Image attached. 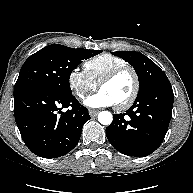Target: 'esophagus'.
<instances>
[{
  "label": "esophagus",
  "mask_w": 193,
  "mask_h": 193,
  "mask_svg": "<svg viewBox=\"0 0 193 193\" xmlns=\"http://www.w3.org/2000/svg\"><path fill=\"white\" fill-rule=\"evenodd\" d=\"M98 110H94V109H90L89 110V114L91 117H95L98 114Z\"/></svg>",
  "instance_id": "esophagus-1"
}]
</instances>
